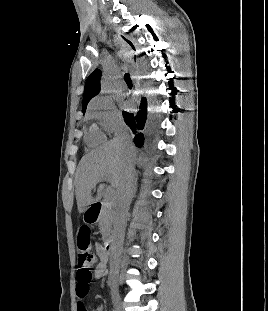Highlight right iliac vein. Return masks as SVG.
Masks as SVG:
<instances>
[{"instance_id":"right-iliac-vein-1","label":"right iliac vein","mask_w":268,"mask_h":311,"mask_svg":"<svg viewBox=\"0 0 268 311\" xmlns=\"http://www.w3.org/2000/svg\"><path fill=\"white\" fill-rule=\"evenodd\" d=\"M111 296H112V301H113L115 311H122V306H121V301H120V296H119L118 291L112 290Z\"/></svg>"}]
</instances>
